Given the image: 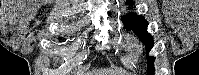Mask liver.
Segmentation results:
<instances>
[{
  "instance_id": "liver-1",
  "label": "liver",
  "mask_w": 199,
  "mask_h": 75,
  "mask_svg": "<svg viewBox=\"0 0 199 75\" xmlns=\"http://www.w3.org/2000/svg\"><path fill=\"white\" fill-rule=\"evenodd\" d=\"M86 75H93L91 73ZM94 75H123L122 72L112 69L101 70L98 72H94Z\"/></svg>"
}]
</instances>
